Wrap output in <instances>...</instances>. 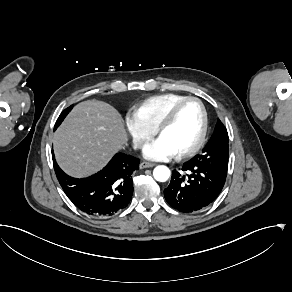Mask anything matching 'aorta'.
<instances>
[{"label":"aorta","instance_id":"1","mask_svg":"<svg viewBox=\"0 0 292 292\" xmlns=\"http://www.w3.org/2000/svg\"><path fill=\"white\" fill-rule=\"evenodd\" d=\"M153 176H154L155 180H157L159 182H165L170 177V170L168 167H166L164 165H159V166L155 167V169L153 171Z\"/></svg>","mask_w":292,"mask_h":292}]
</instances>
